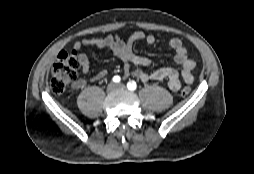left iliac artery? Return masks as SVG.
Here are the masks:
<instances>
[{
  "instance_id": "44dca946",
  "label": "left iliac artery",
  "mask_w": 254,
  "mask_h": 174,
  "mask_svg": "<svg viewBox=\"0 0 254 174\" xmlns=\"http://www.w3.org/2000/svg\"><path fill=\"white\" fill-rule=\"evenodd\" d=\"M136 87H137V84H136V82L135 81H130V82H128L127 83V88L129 89V90H135L136 89Z\"/></svg>"
}]
</instances>
